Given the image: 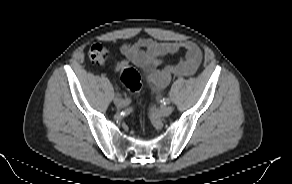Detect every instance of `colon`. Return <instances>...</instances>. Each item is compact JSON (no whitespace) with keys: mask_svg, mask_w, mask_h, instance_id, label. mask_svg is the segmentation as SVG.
<instances>
[{"mask_svg":"<svg viewBox=\"0 0 292 184\" xmlns=\"http://www.w3.org/2000/svg\"><path fill=\"white\" fill-rule=\"evenodd\" d=\"M90 59L97 63H104L109 57V50L101 45L94 44L89 50ZM120 78L125 87L133 94H137L140 90V75L129 65H125L120 69Z\"/></svg>","mask_w":292,"mask_h":184,"instance_id":"5ec220e1","label":"colon"}]
</instances>
